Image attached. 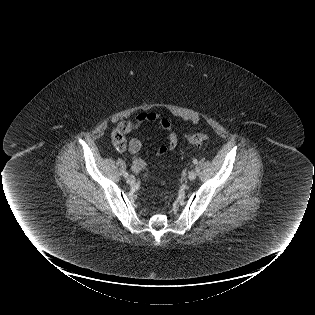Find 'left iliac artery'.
Listing matches in <instances>:
<instances>
[{
	"mask_svg": "<svg viewBox=\"0 0 315 315\" xmlns=\"http://www.w3.org/2000/svg\"><path fill=\"white\" fill-rule=\"evenodd\" d=\"M193 163H194V164H197V159H194V160H193Z\"/></svg>",
	"mask_w": 315,
	"mask_h": 315,
	"instance_id": "left-iliac-artery-1",
	"label": "left iliac artery"
}]
</instances>
